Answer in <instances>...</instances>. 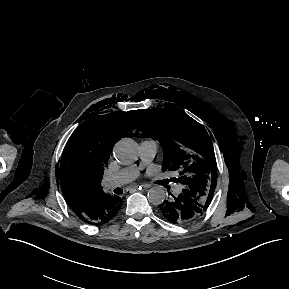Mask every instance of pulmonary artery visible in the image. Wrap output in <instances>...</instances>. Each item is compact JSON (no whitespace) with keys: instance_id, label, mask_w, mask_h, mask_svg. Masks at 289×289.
Segmentation results:
<instances>
[{"instance_id":"1","label":"pulmonary artery","mask_w":289,"mask_h":289,"mask_svg":"<svg viewBox=\"0 0 289 289\" xmlns=\"http://www.w3.org/2000/svg\"><path fill=\"white\" fill-rule=\"evenodd\" d=\"M159 145L155 140H143L140 143V155L143 163L150 162L156 155ZM142 165H133L122 169L105 178L103 184L106 188L111 189L122 186L134 180Z\"/></svg>"}]
</instances>
